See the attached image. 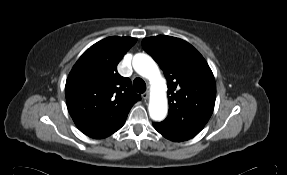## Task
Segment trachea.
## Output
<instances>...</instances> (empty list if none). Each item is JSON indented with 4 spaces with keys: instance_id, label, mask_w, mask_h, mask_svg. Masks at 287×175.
<instances>
[{
    "instance_id": "trachea-1",
    "label": "trachea",
    "mask_w": 287,
    "mask_h": 175,
    "mask_svg": "<svg viewBox=\"0 0 287 175\" xmlns=\"http://www.w3.org/2000/svg\"><path fill=\"white\" fill-rule=\"evenodd\" d=\"M133 87L138 93H144L146 91V83L141 78L134 79Z\"/></svg>"
}]
</instances>
